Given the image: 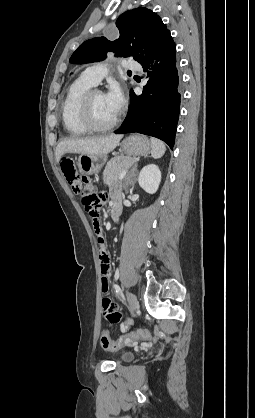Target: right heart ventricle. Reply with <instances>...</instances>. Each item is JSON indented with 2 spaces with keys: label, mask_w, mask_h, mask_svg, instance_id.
<instances>
[{
  "label": "right heart ventricle",
  "mask_w": 255,
  "mask_h": 418,
  "mask_svg": "<svg viewBox=\"0 0 255 418\" xmlns=\"http://www.w3.org/2000/svg\"><path fill=\"white\" fill-rule=\"evenodd\" d=\"M93 87L94 85L82 75L67 90L61 116L64 129L71 136H82L89 132L80 121L79 110L83 96Z\"/></svg>",
  "instance_id": "e07e8e85"
}]
</instances>
